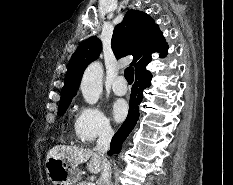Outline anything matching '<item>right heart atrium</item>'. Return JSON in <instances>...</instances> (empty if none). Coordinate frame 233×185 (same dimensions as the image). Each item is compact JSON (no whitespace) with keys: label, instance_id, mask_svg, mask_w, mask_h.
<instances>
[{"label":"right heart atrium","instance_id":"right-heart-atrium-1","mask_svg":"<svg viewBox=\"0 0 233 185\" xmlns=\"http://www.w3.org/2000/svg\"><path fill=\"white\" fill-rule=\"evenodd\" d=\"M74 132L79 142L89 144L98 138L108 137L112 127L100 108L84 105L77 112Z\"/></svg>","mask_w":233,"mask_h":185}]
</instances>
